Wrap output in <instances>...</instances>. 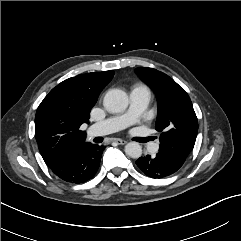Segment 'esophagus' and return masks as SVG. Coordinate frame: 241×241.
I'll list each match as a JSON object with an SVG mask.
<instances>
[{"mask_svg": "<svg viewBox=\"0 0 241 241\" xmlns=\"http://www.w3.org/2000/svg\"><path fill=\"white\" fill-rule=\"evenodd\" d=\"M115 142L119 145H125L127 143V141L122 140V139H116Z\"/></svg>", "mask_w": 241, "mask_h": 241, "instance_id": "34e87169", "label": "esophagus"}]
</instances>
